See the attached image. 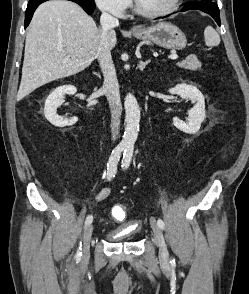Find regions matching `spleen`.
Masks as SVG:
<instances>
[{"label": "spleen", "instance_id": "spleen-1", "mask_svg": "<svg viewBox=\"0 0 249 294\" xmlns=\"http://www.w3.org/2000/svg\"><path fill=\"white\" fill-rule=\"evenodd\" d=\"M204 38L207 46L215 47L220 44V36L211 26L205 28Z\"/></svg>", "mask_w": 249, "mask_h": 294}]
</instances>
